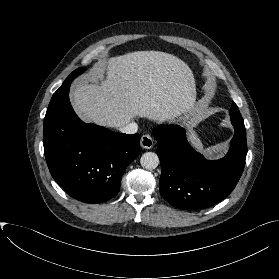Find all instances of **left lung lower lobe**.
Returning <instances> with one entry per match:
<instances>
[{"label": "left lung lower lobe", "instance_id": "0a47b994", "mask_svg": "<svg viewBox=\"0 0 279 279\" xmlns=\"http://www.w3.org/2000/svg\"><path fill=\"white\" fill-rule=\"evenodd\" d=\"M235 134L227 155L206 160L188 144L185 129L158 125L153 135L161 163L159 180L162 197L173 207L202 210L226 198L235 188L247 155L245 126L232 122Z\"/></svg>", "mask_w": 279, "mask_h": 279}]
</instances>
